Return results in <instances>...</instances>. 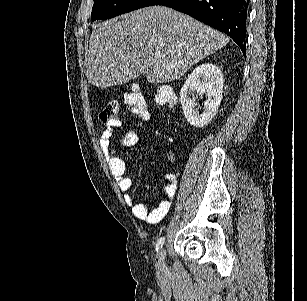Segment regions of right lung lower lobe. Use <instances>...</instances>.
Returning a JSON list of instances; mask_svg holds the SVG:
<instances>
[{"mask_svg":"<svg viewBox=\"0 0 307 301\" xmlns=\"http://www.w3.org/2000/svg\"><path fill=\"white\" fill-rule=\"evenodd\" d=\"M164 5L230 36L246 55L249 0H151L146 6Z\"/></svg>","mask_w":307,"mask_h":301,"instance_id":"obj_1","label":"right lung lower lobe"}]
</instances>
